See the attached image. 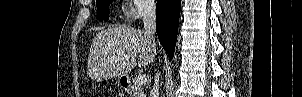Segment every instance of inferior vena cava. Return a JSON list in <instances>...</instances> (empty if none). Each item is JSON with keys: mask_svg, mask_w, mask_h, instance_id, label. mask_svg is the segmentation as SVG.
<instances>
[{"mask_svg": "<svg viewBox=\"0 0 302 97\" xmlns=\"http://www.w3.org/2000/svg\"><path fill=\"white\" fill-rule=\"evenodd\" d=\"M143 9L144 31L155 43L154 35L156 32V6L154 0H147L143 5ZM159 76L160 74L157 72L154 79V85L150 91V97H159Z\"/></svg>", "mask_w": 302, "mask_h": 97, "instance_id": "obj_1", "label": "inferior vena cava"}]
</instances>
